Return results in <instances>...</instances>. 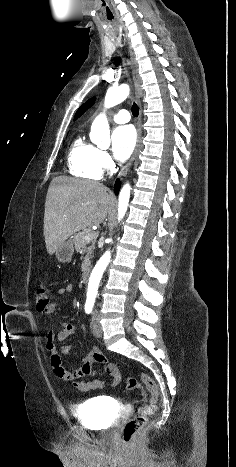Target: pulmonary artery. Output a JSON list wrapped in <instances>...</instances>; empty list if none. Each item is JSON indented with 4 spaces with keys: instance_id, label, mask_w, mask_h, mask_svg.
Listing matches in <instances>:
<instances>
[{
    "instance_id": "e3ab8cb5",
    "label": "pulmonary artery",
    "mask_w": 236,
    "mask_h": 467,
    "mask_svg": "<svg viewBox=\"0 0 236 467\" xmlns=\"http://www.w3.org/2000/svg\"><path fill=\"white\" fill-rule=\"evenodd\" d=\"M111 119L116 123H126L130 120V115L126 110H120L110 115Z\"/></svg>"
}]
</instances>
